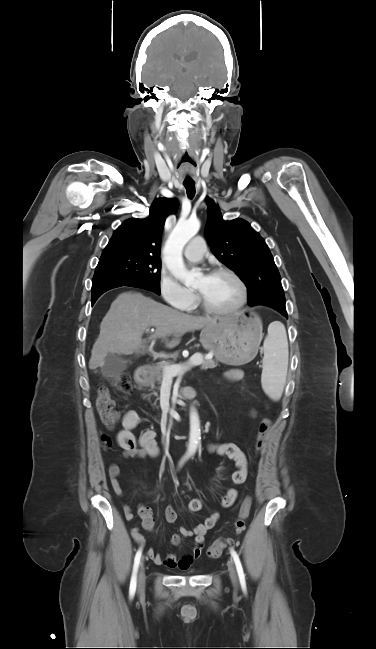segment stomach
I'll list each match as a JSON object with an SVG mask.
<instances>
[{
  "label": "stomach",
  "mask_w": 376,
  "mask_h": 649,
  "mask_svg": "<svg viewBox=\"0 0 376 649\" xmlns=\"http://www.w3.org/2000/svg\"><path fill=\"white\" fill-rule=\"evenodd\" d=\"M262 338V323L258 317L233 315L219 318L207 325L200 334L202 346L212 351L222 363L241 365L255 358Z\"/></svg>",
  "instance_id": "1"
}]
</instances>
